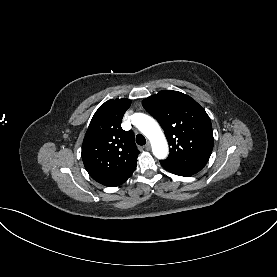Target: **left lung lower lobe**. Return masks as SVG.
Wrapping results in <instances>:
<instances>
[{
  "label": "left lung lower lobe",
  "instance_id": "left-lung-lower-lobe-1",
  "mask_svg": "<svg viewBox=\"0 0 277 277\" xmlns=\"http://www.w3.org/2000/svg\"><path fill=\"white\" fill-rule=\"evenodd\" d=\"M161 165L165 170L173 174H176L179 176H185V177L191 176L202 169L200 167H192V166H170V165H164V164H161Z\"/></svg>",
  "mask_w": 277,
  "mask_h": 277
}]
</instances>
